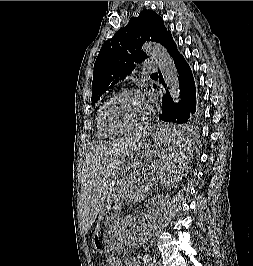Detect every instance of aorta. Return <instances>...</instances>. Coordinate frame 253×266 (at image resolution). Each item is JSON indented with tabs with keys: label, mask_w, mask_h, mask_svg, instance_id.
<instances>
[{
	"label": "aorta",
	"mask_w": 253,
	"mask_h": 266,
	"mask_svg": "<svg viewBox=\"0 0 253 266\" xmlns=\"http://www.w3.org/2000/svg\"><path fill=\"white\" fill-rule=\"evenodd\" d=\"M143 50L157 61L164 82L167 87L170 88V94L173 101L178 102L180 98L179 77L176 67L167 50L158 43L145 44Z\"/></svg>",
	"instance_id": "obj_1"
}]
</instances>
